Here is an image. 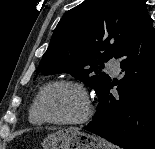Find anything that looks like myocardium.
Segmentation results:
<instances>
[{
	"label": "myocardium",
	"mask_w": 155,
	"mask_h": 149,
	"mask_svg": "<svg viewBox=\"0 0 155 149\" xmlns=\"http://www.w3.org/2000/svg\"><path fill=\"white\" fill-rule=\"evenodd\" d=\"M56 85L71 86V87L76 88L80 92V94L83 98V102H84V111L79 118L73 119V120H56V119L50 118L44 112L43 107H42L43 96H44L45 92L50 87L56 86ZM35 108H36L38 115L41 117V119L44 122L54 124V125H61V126H71V125L83 124L86 121H88L93 114V107H92V103H91L90 96H89L87 88L84 86L83 83H81L77 80H72V79H56V80H53V81L46 83L41 88V90L39 91V93L35 99Z\"/></svg>",
	"instance_id": "f54148a6"
}]
</instances>
